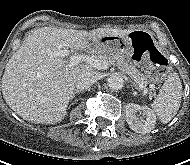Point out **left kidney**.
<instances>
[{
  "instance_id": "5707ae66",
  "label": "left kidney",
  "mask_w": 190,
  "mask_h": 165,
  "mask_svg": "<svg viewBox=\"0 0 190 165\" xmlns=\"http://www.w3.org/2000/svg\"><path fill=\"white\" fill-rule=\"evenodd\" d=\"M142 113L141 117L136 115ZM126 121L129 127L137 133H148L155 128L156 115L147 106L141 107L137 104L130 103L126 106Z\"/></svg>"
}]
</instances>
